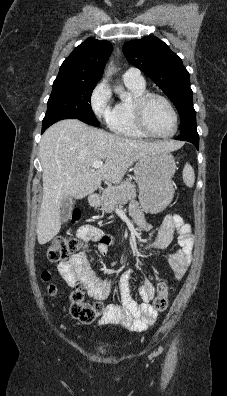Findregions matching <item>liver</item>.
Returning <instances> with one entry per match:
<instances>
[{
    "label": "liver",
    "instance_id": "1",
    "mask_svg": "<svg viewBox=\"0 0 227 396\" xmlns=\"http://www.w3.org/2000/svg\"><path fill=\"white\" fill-rule=\"evenodd\" d=\"M177 142H147L117 136L77 119L61 120L42 136L39 156L43 168V199L37 220V239L43 245L60 231V208L68 196L76 199L93 193L102 180L119 183L128 168L142 156L171 152ZM105 160L98 169L95 161Z\"/></svg>",
    "mask_w": 227,
    "mask_h": 396
}]
</instances>
